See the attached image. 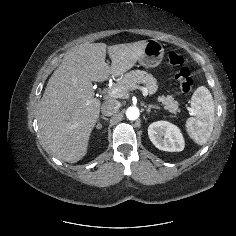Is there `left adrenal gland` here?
<instances>
[{
  "label": "left adrenal gland",
  "instance_id": "obj_1",
  "mask_svg": "<svg viewBox=\"0 0 236 236\" xmlns=\"http://www.w3.org/2000/svg\"><path fill=\"white\" fill-rule=\"evenodd\" d=\"M146 108V112L149 113L151 111V109H159L158 106H155V105H149L148 107L145 106Z\"/></svg>",
  "mask_w": 236,
  "mask_h": 236
}]
</instances>
